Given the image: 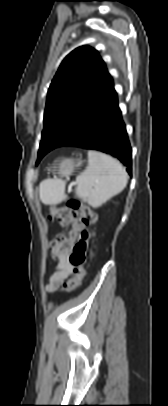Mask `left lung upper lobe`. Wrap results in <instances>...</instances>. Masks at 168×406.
Instances as JSON below:
<instances>
[{"label":"left lung upper lobe","mask_w":168,"mask_h":406,"mask_svg":"<svg viewBox=\"0 0 168 406\" xmlns=\"http://www.w3.org/2000/svg\"><path fill=\"white\" fill-rule=\"evenodd\" d=\"M113 81L98 52L81 46L61 63L48 90L44 128L36 165L83 126Z\"/></svg>","instance_id":"obj_1"}]
</instances>
